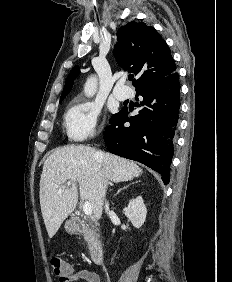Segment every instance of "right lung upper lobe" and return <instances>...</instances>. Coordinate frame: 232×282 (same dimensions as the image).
<instances>
[{"mask_svg":"<svg viewBox=\"0 0 232 282\" xmlns=\"http://www.w3.org/2000/svg\"><path fill=\"white\" fill-rule=\"evenodd\" d=\"M117 38L114 56L120 67L138 75V79L133 81L135 88L175 72L171 51L154 27L132 21L117 31ZM79 73L75 66L66 79L60 99L70 92Z\"/></svg>","mask_w":232,"mask_h":282,"instance_id":"right-lung-upper-lobe-1","label":"right lung upper lobe"}]
</instances>
